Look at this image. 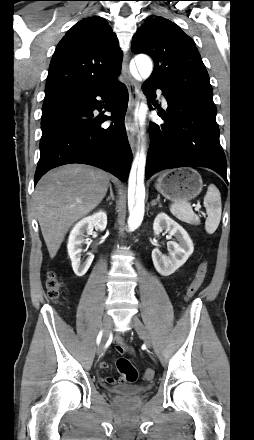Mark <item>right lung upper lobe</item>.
<instances>
[{
	"instance_id": "cb5924a9",
	"label": "right lung upper lobe",
	"mask_w": 254,
	"mask_h": 440,
	"mask_svg": "<svg viewBox=\"0 0 254 440\" xmlns=\"http://www.w3.org/2000/svg\"><path fill=\"white\" fill-rule=\"evenodd\" d=\"M122 52L107 21L99 16L76 23L58 43L49 66L45 96L76 88L118 84Z\"/></svg>"
}]
</instances>
